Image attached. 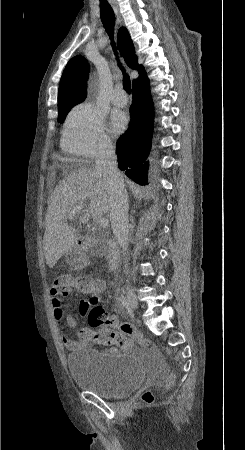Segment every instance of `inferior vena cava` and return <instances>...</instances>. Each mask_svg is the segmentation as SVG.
<instances>
[{
    "label": "inferior vena cava",
    "instance_id": "inferior-vena-cava-1",
    "mask_svg": "<svg viewBox=\"0 0 245 450\" xmlns=\"http://www.w3.org/2000/svg\"><path fill=\"white\" fill-rule=\"evenodd\" d=\"M96 171L103 177L109 194L110 222L117 243L123 249V256L128 253V195L123 177L117 168V156L110 142L100 147L96 157ZM128 274V265L125 264Z\"/></svg>",
    "mask_w": 245,
    "mask_h": 450
}]
</instances>
